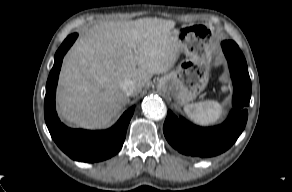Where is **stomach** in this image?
Returning a JSON list of instances; mask_svg holds the SVG:
<instances>
[{
  "label": "stomach",
  "mask_w": 292,
  "mask_h": 192,
  "mask_svg": "<svg viewBox=\"0 0 292 192\" xmlns=\"http://www.w3.org/2000/svg\"><path fill=\"white\" fill-rule=\"evenodd\" d=\"M179 50L185 54L177 68L164 74L157 89L180 104L193 101L206 87L214 54L212 28L190 25L174 30Z\"/></svg>",
  "instance_id": "obj_1"
}]
</instances>
